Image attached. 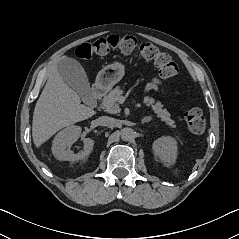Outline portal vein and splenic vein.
Here are the masks:
<instances>
[{"label": "portal vein and splenic vein", "instance_id": "18ae733b", "mask_svg": "<svg viewBox=\"0 0 239 239\" xmlns=\"http://www.w3.org/2000/svg\"><path fill=\"white\" fill-rule=\"evenodd\" d=\"M118 100H119L120 103H123L125 99H124V97L121 96V97H119Z\"/></svg>", "mask_w": 239, "mask_h": 239}]
</instances>
